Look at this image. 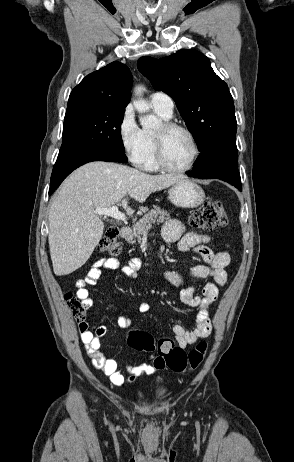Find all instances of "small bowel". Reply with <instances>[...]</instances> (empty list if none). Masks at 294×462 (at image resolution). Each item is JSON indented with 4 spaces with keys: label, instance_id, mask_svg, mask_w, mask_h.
<instances>
[{
    "label": "small bowel",
    "instance_id": "1",
    "mask_svg": "<svg viewBox=\"0 0 294 462\" xmlns=\"http://www.w3.org/2000/svg\"><path fill=\"white\" fill-rule=\"evenodd\" d=\"M162 235L167 242H176L179 251L186 252L193 250L203 259V264L194 266L185 274L173 270H164L162 272V276L166 281L174 286L183 287L180 292L181 301L197 309L192 330H187L179 324L174 325L172 328L176 342L182 349L210 335L212 324L209 318V310L212 303L218 298L219 288L226 283L227 273L225 268L229 264L230 258L227 252H214L206 246L210 242V237L207 235L186 233L184 225L176 219H170L165 223ZM141 267L142 260L140 258H133L125 265H122L115 258L100 259L91 266L84 278L77 280L76 297L82 301L85 310H87L93 304L89 296L88 286L97 283L102 270H116L120 268L126 276L135 278ZM208 277L212 278V281L204 285L201 296L196 294V289L193 285L188 284L189 281ZM110 307L113 308V306ZM149 310L150 305L147 302L139 304V311L141 313H146ZM117 324L119 327L126 329L131 326L132 320L120 316L117 318ZM79 333L81 342L85 346L86 353L91 359L92 365L107 375L116 386L132 383L143 374L151 375L160 370L153 364L140 363L131 365L125 363L124 368L127 373V377H125L118 370L116 360L107 357L100 349L101 339L107 333L106 326L101 325L95 331H91L89 324L83 321L79 324Z\"/></svg>",
    "mask_w": 294,
    "mask_h": 462
}]
</instances>
